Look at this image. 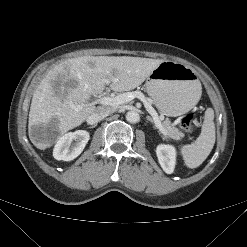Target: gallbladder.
I'll list each match as a JSON object with an SVG mask.
<instances>
[{
	"instance_id": "bac80fb5",
	"label": "gallbladder",
	"mask_w": 247,
	"mask_h": 247,
	"mask_svg": "<svg viewBox=\"0 0 247 247\" xmlns=\"http://www.w3.org/2000/svg\"><path fill=\"white\" fill-rule=\"evenodd\" d=\"M63 80H64L63 77L59 76V77L54 81L56 93H59V88H60V86H61ZM75 84H76L75 81L68 80V81H66L65 86H66V87H73Z\"/></svg>"
}]
</instances>
